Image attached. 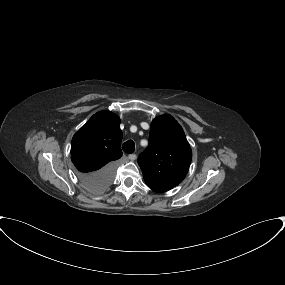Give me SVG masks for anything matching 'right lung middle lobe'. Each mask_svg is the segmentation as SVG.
Segmentation results:
<instances>
[{
	"mask_svg": "<svg viewBox=\"0 0 285 285\" xmlns=\"http://www.w3.org/2000/svg\"><path fill=\"white\" fill-rule=\"evenodd\" d=\"M102 191H104V190H102ZM102 191H99V192H94V193H100V192H102ZM93 192V191H92Z\"/></svg>",
	"mask_w": 285,
	"mask_h": 285,
	"instance_id": "dd1d6c3e",
	"label": "right lung middle lobe"
}]
</instances>
